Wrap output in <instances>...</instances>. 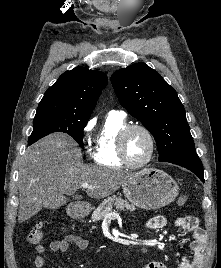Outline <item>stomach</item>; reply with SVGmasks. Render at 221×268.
<instances>
[{
	"label": "stomach",
	"mask_w": 221,
	"mask_h": 268,
	"mask_svg": "<svg viewBox=\"0 0 221 268\" xmlns=\"http://www.w3.org/2000/svg\"><path fill=\"white\" fill-rule=\"evenodd\" d=\"M125 197L137 207L146 210H154L170 204L177 197L179 186L177 182L166 172L145 168L135 174L124 183ZM91 207L85 204H76L69 215L81 218L89 214Z\"/></svg>",
	"instance_id": "1"
}]
</instances>
